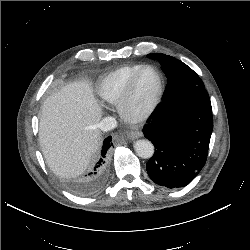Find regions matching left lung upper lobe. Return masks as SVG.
<instances>
[{
	"instance_id": "left-lung-upper-lobe-1",
	"label": "left lung upper lobe",
	"mask_w": 250,
	"mask_h": 250,
	"mask_svg": "<svg viewBox=\"0 0 250 250\" xmlns=\"http://www.w3.org/2000/svg\"><path fill=\"white\" fill-rule=\"evenodd\" d=\"M148 57L157 60L166 74L167 87L163 101L204 88V84L199 76L180 60L161 53L148 54Z\"/></svg>"
}]
</instances>
